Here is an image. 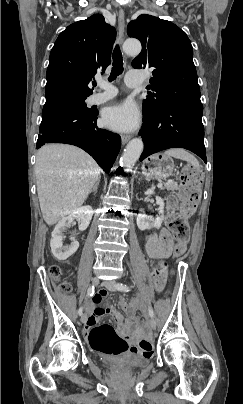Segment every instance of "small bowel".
Listing matches in <instances>:
<instances>
[{
    "mask_svg": "<svg viewBox=\"0 0 243 404\" xmlns=\"http://www.w3.org/2000/svg\"><path fill=\"white\" fill-rule=\"evenodd\" d=\"M170 241V234L167 230L163 229L159 234H152L147 242H146V253L150 258L159 259L165 257L167 255V245ZM106 296V292L104 290H100L93 297V308L90 310L89 315L87 316L86 321L84 322V331L87 333L105 314L113 315L118 323V334L131 341L134 342L139 335V331L131 333V328L136 323L135 321H126L124 322L117 312V310L112 305H108L107 307L100 306L102 299Z\"/></svg>",
    "mask_w": 243,
    "mask_h": 404,
    "instance_id": "c3829d8e",
    "label": "small bowel"
}]
</instances>
